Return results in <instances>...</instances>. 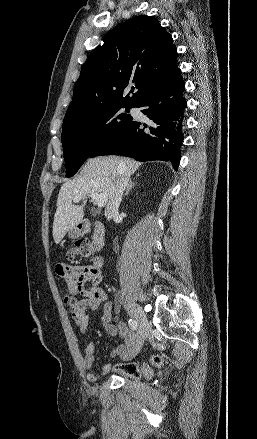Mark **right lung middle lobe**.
Instances as JSON below:
<instances>
[{"instance_id": "obj_1", "label": "right lung middle lobe", "mask_w": 257, "mask_h": 439, "mask_svg": "<svg viewBox=\"0 0 257 439\" xmlns=\"http://www.w3.org/2000/svg\"><path fill=\"white\" fill-rule=\"evenodd\" d=\"M123 107L127 108L125 112L131 108L110 105L63 121L61 141L67 177L73 176L101 143L131 122V115L120 112Z\"/></svg>"}]
</instances>
